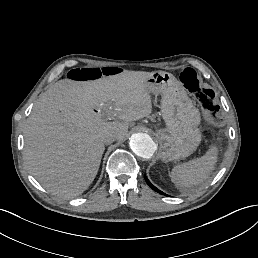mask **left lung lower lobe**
<instances>
[{
  "label": "left lung lower lobe",
  "instance_id": "obj_1",
  "mask_svg": "<svg viewBox=\"0 0 258 258\" xmlns=\"http://www.w3.org/2000/svg\"><path fill=\"white\" fill-rule=\"evenodd\" d=\"M144 178H145L147 184H148L152 189H154L155 191H157V192L160 193V194L166 195V194H164L162 191H160L159 189H157L155 186H153V185L149 182V180L147 179V177H146L145 175H144ZM166 196H167V195H166Z\"/></svg>",
  "mask_w": 258,
  "mask_h": 258
}]
</instances>
